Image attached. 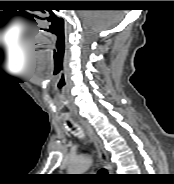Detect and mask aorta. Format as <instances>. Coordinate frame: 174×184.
I'll list each match as a JSON object with an SVG mask.
<instances>
[{"mask_svg":"<svg viewBox=\"0 0 174 184\" xmlns=\"http://www.w3.org/2000/svg\"><path fill=\"white\" fill-rule=\"evenodd\" d=\"M91 164V159L88 156H81L74 159L68 167L70 174H83Z\"/></svg>","mask_w":174,"mask_h":184,"instance_id":"1","label":"aorta"}]
</instances>
